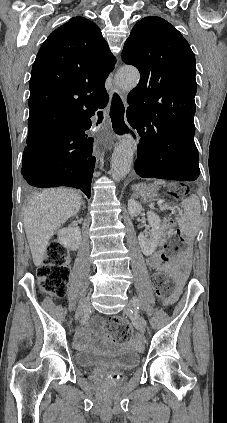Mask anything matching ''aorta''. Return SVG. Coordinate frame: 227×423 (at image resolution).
Listing matches in <instances>:
<instances>
[{
	"mask_svg": "<svg viewBox=\"0 0 227 423\" xmlns=\"http://www.w3.org/2000/svg\"><path fill=\"white\" fill-rule=\"evenodd\" d=\"M139 72L131 66L121 67L115 77L119 88L131 90L139 82ZM134 157V142L131 137L122 138L115 147L111 158L110 174L115 181L123 179L131 170Z\"/></svg>",
	"mask_w": 227,
	"mask_h": 423,
	"instance_id": "1",
	"label": "aorta"
}]
</instances>
